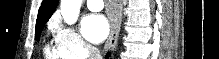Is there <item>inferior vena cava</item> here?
<instances>
[{
  "mask_svg": "<svg viewBox=\"0 0 219 59\" xmlns=\"http://www.w3.org/2000/svg\"><path fill=\"white\" fill-rule=\"evenodd\" d=\"M89 59H102L100 50L95 46H88Z\"/></svg>",
  "mask_w": 219,
  "mask_h": 59,
  "instance_id": "obj_1",
  "label": "inferior vena cava"
}]
</instances>
